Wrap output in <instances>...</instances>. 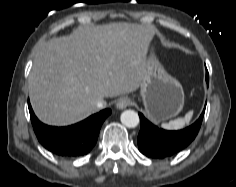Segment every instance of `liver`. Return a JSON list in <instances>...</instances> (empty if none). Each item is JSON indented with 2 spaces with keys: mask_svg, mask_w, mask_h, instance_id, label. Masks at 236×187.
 Listing matches in <instances>:
<instances>
[{
  "mask_svg": "<svg viewBox=\"0 0 236 187\" xmlns=\"http://www.w3.org/2000/svg\"><path fill=\"white\" fill-rule=\"evenodd\" d=\"M153 36L151 28L116 22L50 39L37 52L28 78L37 117L66 126L97 112L99 100L137 90Z\"/></svg>",
  "mask_w": 236,
  "mask_h": 187,
  "instance_id": "obj_1",
  "label": "liver"
}]
</instances>
